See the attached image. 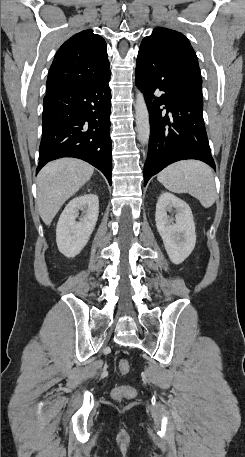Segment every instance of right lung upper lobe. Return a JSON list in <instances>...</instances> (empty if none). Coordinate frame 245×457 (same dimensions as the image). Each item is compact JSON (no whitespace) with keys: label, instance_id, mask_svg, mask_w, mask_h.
Wrapping results in <instances>:
<instances>
[{"label":"right lung upper lobe","instance_id":"obj_1","mask_svg":"<svg viewBox=\"0 0 245 457\" xmlns=\"http://www.w3.org/2000/svg\"><path fill=\"white\" fill-rule=\"evenodd\" d=\"M110 73L106 42L91 29L68 39L58 50L48 74L46 92Z\"/></svg>","mask_w":245,"mask_h":457}]
</instances>
